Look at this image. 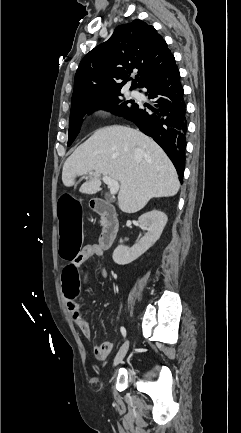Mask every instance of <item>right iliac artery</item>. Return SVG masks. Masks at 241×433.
<instances>
[{
  "label": "right iliac artery",
  "instance_id": "obj_1",
  "mask_svg": "<svg viewBox=\"0 0 241 433\" xmlns=\"http://www.w3.org/2000/svg\"><path fill=\"white\" fill-rule=\"evenodd\" d=\"M122 335L124 336V338L126 337V329L124 327L120 328Z\"/></svg>",
  "mask_w": 241,
  "mask_h": 433
}]
</instances>
